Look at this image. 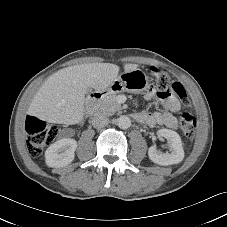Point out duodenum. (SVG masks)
Segmentation results:
<instances>
[{
  "mask_svg": "<svg viewBox=\"0 0 227 227\" xmlns=\"http://www.w3.org/2000/svg\"><path fill=\"white\" fill-rule=\"evenodd\" d=\"M106 94L105 90H101V91H96L94 93H92L86 101V105H85V109L87 114L92 115L94 114L95 110H96V106L98 101ZM133 117L136 121L140 122L142 119V115L141 113H135L133 114Z\"/></svg>",
  "mask_w": 227,
  "mask_h": 227,
  "instance_id": "410a0bca",
  "label": "duodenum"
}]
</instances>
